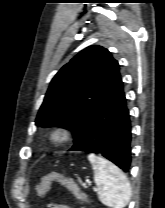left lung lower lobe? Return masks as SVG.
I'll list each match as a JSON object with an SVG mask.
<instances>
[{
	"label": "left lung lower lobe",
	"mask_w": 165,
	"mask_h": 208,
	"mask_svg": "<svg viewBox=\"0 0 165 208\" xmlns=\"http://www.w3.org/2000/svg\"><path fill=\"white\" fill-rule=\"evenodd\" d=\"M121 77L69 151L100 153L124 172L131 165V123Z\"/></svg>",
	"instance_id": "0a47b994"
}]
</instances>
